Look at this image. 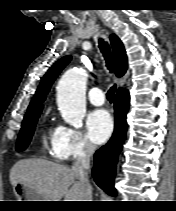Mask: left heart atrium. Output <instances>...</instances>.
Listing matches in <instances>:
<instances>
[{
  "label": "left heart atrium",
  "mask_w": 176,
  "mask_h": 211,
  "mask_svg": "<svg viewBox=\"0 0 176 211\" xmlns=\"http://www.w3.org/2000/svg\"><path fill=\"white\" fill-rule=\"evenodd\" d=\"M86 127L91 140L96 144H101L111 135L113 120L106 110H94L86 119Z\"/></svg>",
  "instance_id": "1"
}]
</instances>
